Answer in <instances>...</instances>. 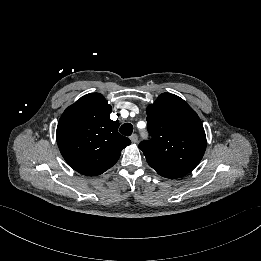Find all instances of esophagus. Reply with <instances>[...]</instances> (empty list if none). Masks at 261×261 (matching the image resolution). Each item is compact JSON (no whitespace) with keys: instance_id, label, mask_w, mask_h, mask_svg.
<instances>
[{"instance_id":"obj_1","label":"esophagus","mask_w":261,"mask_h":261,"mask_svg":"<svg viewBox=\"0 0 261 261\" xmlns=\"http://www.w3.org/2000/svg\"><path fill=\"white\" fill-rule=\"evenodd\" d=\"M130 140L132 141V143H137L138 142V136L136 134H132L130 136Z\"/></svg>"}]
</instances>
